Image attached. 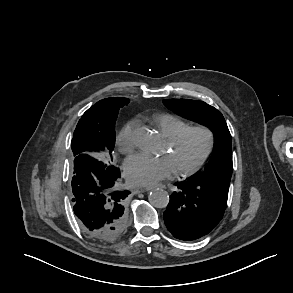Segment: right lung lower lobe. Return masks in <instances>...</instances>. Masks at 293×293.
<instances>
[{
    "label": "right lung lower lobe",
    "mask_w": 293,
    "mask_h": 293,
    "mask_svg": "<svg viewBox=\"0 0 293 293\" xmlns=\"http://www.w3.org/2000/svg\"><path fill=\"white\" fill-rule=\"evenodd\" d=\"M120 172L114 165L87 154L74 159L72 201L81 228L91 238L112 242L125 231V203L129 191L119 189Z\"/></svg>",
    "instance_id": "98d812e1"
}]
</instances>
